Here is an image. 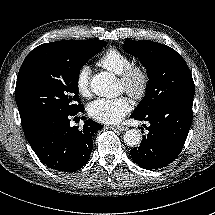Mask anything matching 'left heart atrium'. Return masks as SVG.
I'll use <instances>...</instances> for the list:
<instances>
[{
  "instance_id": "39dd6f15",
  "label": "left heart atrium",
  "mask_w": 215,
  "mask_h": 215,
  "mask_svg": "<svg viewBox=\"0 0 215 215\" xmlns=\"http://www.w3.org/2000/svg\"><path fill=\"white\" fill-rule=\"evenodd\" d=\"M130 110L129 99L122 96L114 99L99 98L90 104L88 112L98 122L114 124L122 120Z\"/></svg>"
}]
</instances>
